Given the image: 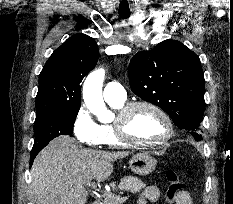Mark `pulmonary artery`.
Here are the masks:
<instances>
[{
    "label": "pulmonary artery",
    "mask_w": 233,
    "mask_h": 204,
    "mask_svg": "<svg viewBox=\"0 0 233 204\" xmlns=\"http://www.w3.org/2000/svg\"><path fill=\"white\" fill-rule=\"evenodd\" d=\"M103 97L107 102H123L126 100V91L119 82L111 81L105 85Z\"/></svg>",
    "instance_id": "obj_1"
}]
</instances>
